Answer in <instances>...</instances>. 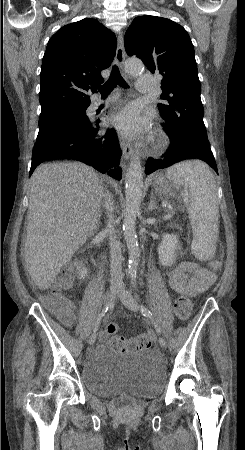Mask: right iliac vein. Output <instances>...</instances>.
<instances>
[{
  "mask_svg": "<svg viewBox=\"0 0 245 450\" xmlns=\"http://www.w3.org/2000/svg\"><path fill=\"white\" fill-rule=\"evenodd\" d=\"M119 289H120L119 285L112 284V285L110 286V295H109L110 299H113V298L117 295V293L119 292ZM95 341H96V334L93 333V334L90 336L88 342H89V344L92 345V344L95 343Z\"/></svg>",
  "mask_w": 245,
  "mask_h": 450,
  "instance_id": "63e3f726",
  "label": "right iliac vein"
}]
</instances>
